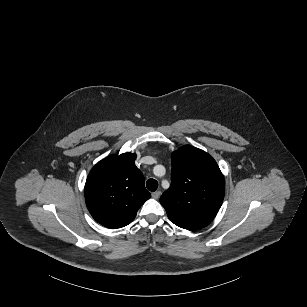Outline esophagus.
I'll list each match as a JSON object with an SVG mask.
<instances>
[{
    "label": "esophagus",
    "mask_w": 307,
    "mask_h": 307,
    "mask_svg": "<svg viewBox=\"0 0 307 307\" xmlns=\"http://www.w3.org/2000/svg\"><path fill=\"white\" fill-rule=\"evenodd\" d=\"M160 195H161V191H155L152 193V197L154 199H158Z\"/></svg>",
    "instance_id": "34e87169"
}]
</instances>
